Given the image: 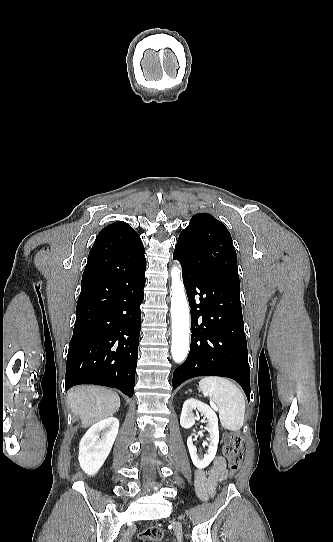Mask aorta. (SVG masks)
Wrapping results in <instances>:
<instances>
[{
    "mask_svg": "<svg viewBox=\"0 0 333 542\" xmlns=\"http://www.w3.org/2000/svg\"><path fill=\"white\" fill-rule=\"evenodd\" d=\"M171 318L172 346L171 354L176 364H182L189 354V308L179 268L171 270Z\"/></svg>",
    "mask_w": 333,
    "mask_h": 542,
    "instance_id": "aorta-1",
    "label": "aorta"
}]
</instances>
